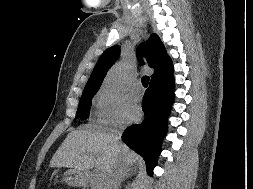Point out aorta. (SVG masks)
I'll use <instances>...</instances> for the list:
<instances>
[{
	"label": "aorta",
	"instance_id": "762f6f07",
	"mask_svg": "<svg viewBox=\"0 0 253 189\" xmlns=\"http://www.w3.org/2000/svg\"><path fill=\"white\" fill-rule=\"evenodd\" d=\"M125 69L123 65L115 66L109 73L108 78L106 80V86L109 89H119L121 86V82L123 79Z\"/></svg>",
	"mask_w": 253,
	"mask_h": 189
}]
</instances>
